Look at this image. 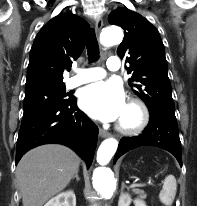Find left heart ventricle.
<instances>
[{"label":"left heart ventricle","mask_w":197,"mask_h":206,"mask_svg":"<svg viewBox=\"0 0 197 206\" xmlns=\"http://www.w3.org/2000/svg\"><path fill=\"white\" fill-rule=\"evenodd\" d=\"M121 120L125 122L131 123L135 120V113L130 108L126 107L124 115L122 116Z\"/></svg>","instance_id":"left-heart-ventricle-1"}]
</instances>
